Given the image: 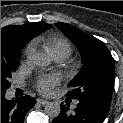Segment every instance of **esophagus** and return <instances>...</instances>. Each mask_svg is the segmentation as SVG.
Instances as JSON below:
<instances>
[{
    "mask_svg": "<svg viewBox=\"0 0 123 123\" xmlns=\"http://www.w3.org/2000/svg\"><path fill=\"white\" fill-rule=\"evenodd\" d=\"M37 102H38L39 104H41V105H46V104L48 103L47 100L40 99V98L37 99Z\"/></svg>",
    "mask_w": 123,
    "mask_h": 123,
    "instance_id": "1",
    "label": "esophagus"
}]
</instances>
